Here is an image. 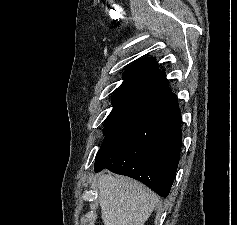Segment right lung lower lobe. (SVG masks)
<instances>
[{"label": "right lung lower lobe", "instance_id": "98d812e1", "mask_svg": "<svg viewBox=\"0 0 237 225\" xmlns=\"http://www.w3.org/2000/svg\"><path fill=\"white\" fill-rule=\"evenodd\" d=\"M181 122L176 97L127 121L104 139L95 172L108 169L134 178L167 197L182 147Z\"/></svg>", "mask_w": 237, "mask_h": 225}]
</instances>
